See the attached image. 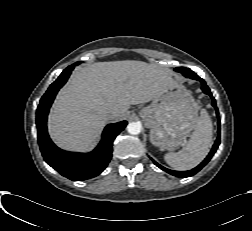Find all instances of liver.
Returning a JSON list of instances; mask_svg holds the SVG:
<instances>
[{
  "label": "liver",
  "mask_w": 252,
  "mask_h": 231,
  "mask_svg": "<svg viewBox=\"0 0 252 231\" xmlns=\"http://www.w3.org/2000/svg\"><path fill=\"white\" fill-rule=\"evenodd\" d=\"M174 85L168 70L142 61L97 62L80 68L54 101L49 134L64 149L86 150L108 120L123 118L130 105L149 102ZM111 109L113 116L107 114Z\"/></svg>",
  "instance_id": "obj_1"
}]
</instances>
